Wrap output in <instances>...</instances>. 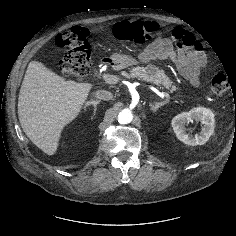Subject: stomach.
Segmentation results:
<instances>
[{"label": "stomach", "mask_w": 236, "mask_h": 236, "mask_svg": "<svg viewBox=\"0 0 236 236\" xmlns=\"http://www.w3.org/2000/svg\"><path fill=\"white\" fill-rule=\"evenodd\" d=\"M111 60L113 65L117 69H124L129 66L137 65L139 63L138 60L133 58L132 56L117 53L111 56Z\"/></svg>", "instance_id": "obj_1"}]
</instances>
